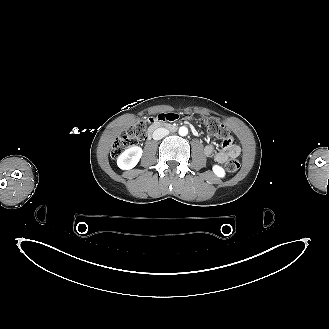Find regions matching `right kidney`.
<instances>
[{"label":"right kidney","mask_w":329,"mask_h":329,"mask_svg":"<svg viewBox=\"0 0 329 329\" xmlns=\"http://www.w3.org/2000/svg\"><path fill=\"white\" fill-rule=\"evenodd\" d=\"M143 150L141 147L134 146L125 150L117 159V165L122 170H130L137 165Z\"/></svg>","instance_id":"1"}]
</instances>
